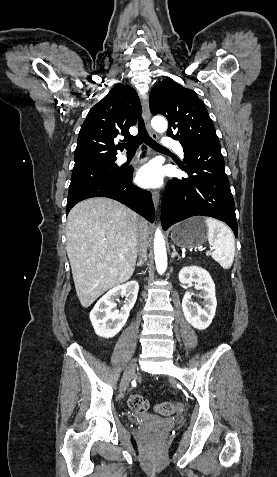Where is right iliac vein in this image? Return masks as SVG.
I'll return each instance as SVG.
<instances>
[{"label":"right iliac vein","mask_w":277,"mask_h":477,"mask_svg":"<svg viewBox=\"0 0 277 477\" xmlns=\"http://www.w3.org/2000/svg\"><path fill=\"white\" fill-rule=\"evenodd\" d=\"M136 369V360L134 359L133 361L130 362V364L127 366L124 375L121 380V385H120V392L123 393L126 391L127 387L129 386V383L135 373Z\"/></svg>","instance_id":"obj_1"}]
</instances>
